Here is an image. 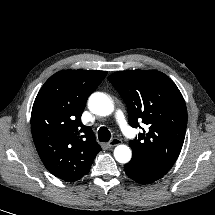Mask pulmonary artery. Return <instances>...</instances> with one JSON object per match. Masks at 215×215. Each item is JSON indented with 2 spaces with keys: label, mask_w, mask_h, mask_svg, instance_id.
Instances as JSON below:
<instances>
[{
  "label": "pulmonary artery",
  "mask_w": 215,
  "mask_h": 215,
  "mask_svg": "<svg viewBox=\"0 0 215 215\" xmlns=\"http://www.w3.org/2000/svg\"><path fill=\"white\" fill-rule=\"evenodd\" d=\"M115 119H116L120 129L122 130V132L127 136H131V134H132L131 128L129 127L127 120H126L123 112L120 109L116 110Z\"/></svg>",
  "instance_id": "e3ab8cb5"
}]
</instances>
